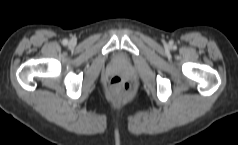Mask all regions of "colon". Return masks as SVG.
Wrapping results in <instances>:
<instances>
[{"label":"colon","instance_id":"obj_1","mask_svg":"<svg viewBox=\"0 0 238 145\" xmlns=\"http://www.w3.org/2000/svg\"><path fill=\"white\" fill-rule=\"evenodd\" d=\"M109 88L117 98H122L131 92V85L119 76H115L110 80Z\"/></svg>","mask_w":238,"mask_h":145}]
</instances>
